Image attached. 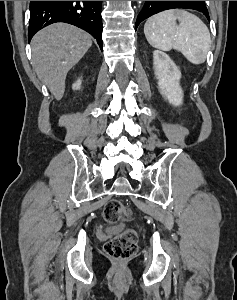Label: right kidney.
I'll use <instances>...</instances> for the list:
<instances>
[{
  "label": "right kidney",
  "instance_id": "obj_1",
  "mask_svg": "<svg viewBox=\"0 0 237 300\" xmlns=\"http://www.w3.org/2000/svg\"><path fill=\"white\" fill-rule=\"evenodd\" d=\"M80 87H81V81L79 79V81H76V83H74L73 89H75V91H76V89H80Z\"/></svg>",
  "mask_w": 237,
  "mask_h": 300
}]
</instances>
